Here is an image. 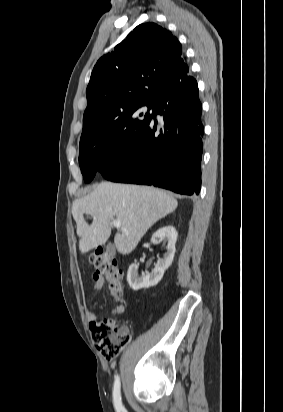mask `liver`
Wrapping results in <instances>:
<instances>
[{
    "label": "liver",
    "instance_id": "1",
    "mask_svg": "<svg viewBox=\"0 0 283 412\" xmlns=\"http://www.w3.org/2000/svg\"><path fill=\"white\" fill-rule=\"evenodd\" d=\"M177 200L154 187L100 183L91 193L76 199L72 215L77 224L79 249L86 253L104 245L111 234L113 220L121 222L114 244L119 253H131L141 238L157 221L173 212ZM91 215L92 224L84 219Z\"/></svg>",
    "mask_w": 283,
    "mask_h": 412
}]
</instances>
